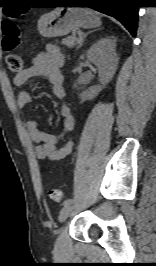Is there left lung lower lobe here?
<instances>
[{"label": "left lung lower lobe", "mask_w": 156, "mask_h": 266, "mask_svg": "<svg viewBox=\"0 0 156 266\" xmlns=\"http://www.w3.org/2000/svg\"><path fill=\"white\" fill-rule=\"evenodd\" d=\"M55 3H73L82 7H91L120 21L135 36L138 18V0H70Z\"/></svg>", "instance_id": "1"}]
</instances>
